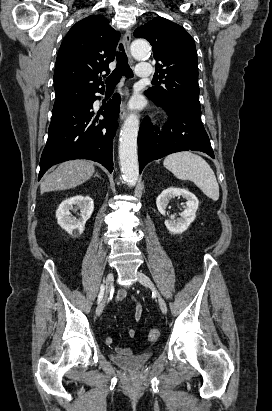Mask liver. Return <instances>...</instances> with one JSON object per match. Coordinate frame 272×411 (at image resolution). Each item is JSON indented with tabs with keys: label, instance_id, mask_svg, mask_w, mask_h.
Segmentation results:
<instances>
[{
	"label": "liver",
	"instance_id": "obj_1",
	"mask_svg": "<svg viewBox=\"0 0 272 411\" xmlns=\"http://www.w3.org/2000/svg\"><path fill=\"white\" fill-rule=\"evenodd\" d=\"M94 172V164L87 160H71L61 163L41 182V194L74 188L90 179Z\"/></svg>",
	"mask_w": 272,
	"mask_h": 411
}]
</instances>
